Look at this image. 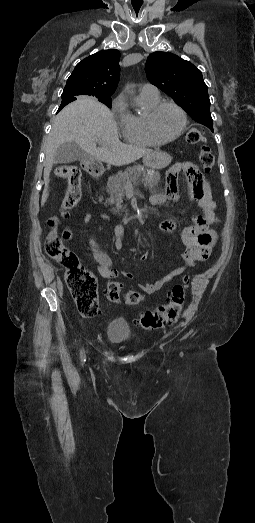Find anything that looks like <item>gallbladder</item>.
<instances>
[{
  "label": "gallbladder",
  "instance_id": "bac80fb5",
  "mask_svg": "<svg viewBox=\"0 0 255 523\" xmlns=\"http://www.w3.org/2000/svg\"><path fill=\"white\" fill-rule=\"evenodd\" d=\"M91 156L86 154L76 142H65L55 150L54 160L58 164H70V162H89Z\"/></svg>",
  "mask_w": 255,
  "mask_h": 523
}]
</instances>
